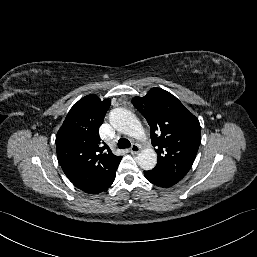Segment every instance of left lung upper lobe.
Here are the masks:
<instances>
[{
	"label": "left lung upper lobe",
	"instance_id": "5c2ea615",
	"mask_svg": "<svg viewBox=\"0 0 257 257\" xmlns=\"http://www.w3.org/2000/svg\"><path fill=\"white\" fill-rule=\"evenodd\" d=\"M132 104L150 126L158 155L153 170L181 180L190 170L201 143L198 119L174 95L160 88L133 98Z\"/></svg>",
	"mask_w": 257,
	"mask_h": 257
}]
</instances>
